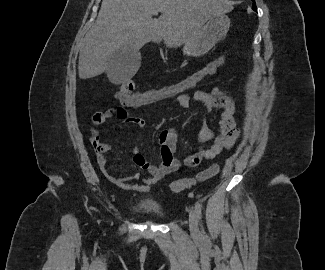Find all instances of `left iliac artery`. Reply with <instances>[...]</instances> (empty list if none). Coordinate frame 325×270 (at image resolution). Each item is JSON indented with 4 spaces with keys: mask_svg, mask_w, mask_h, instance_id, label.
<instances>
[{
    "mask_svg": "<svg viewBox=\"0 0 325 270\" xmlns=\"http://www.w3.org/2000/svg\"><path fill=\"white\" fill-rule=\"evenodd\" d=\"M195 211H196V214H197L199 220H201V216H202V206H201V204H200L199 202H196V203H195ZM201 227H202V234H203V237H206V235H205V231H204V229H203L202 224H201Z\"/></svg>",
    "mask_w": 325,
    "mask_h": 270,
    "instance_id": "44dca946",
    "label": "left iliac artery"
}]
</instances>
